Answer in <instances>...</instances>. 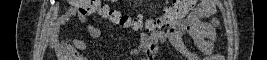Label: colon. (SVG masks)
I'll use <instances>...</instances> for the list:
<instances>
[{
  "instance_id": "colon-1",
  "label": "colon",
  "mask_w": 267,
  "mask_h": 60,
  "mask_svg": "<svg viewBox=\"0 0 267 60\" xmlns=\"http://www.w3.org/2000/svg\"><path fill=\"white\" fill-rule=\"evenodd\" d=\"M73 2L77 4L78 11L83 15H95L116 26L134 29H141L144 26L148 29L173 28L190 7V0H176L172 6L163 11L160 17L144 24L101 0H75Z\"/></svg>"
}]
</instances>
